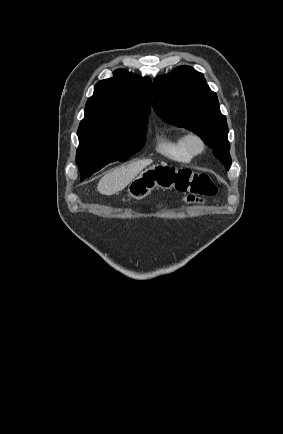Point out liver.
<instances>
[{"label":"liver","mask_w":283,"mask_h":434,"mask_svg":"<svg viewBox=\"0 0 283 434\" xmlns=\"http://www.w3.org/2000/svg\"><path fill=\"white\" fill-rule=\"evenodd\" d=\"M152 162L151 159L138 160L107 173L100 179L98 191L103 195H113L123 190Z\"/></svg>","instance_id":"liver-1"}]
</instances>
